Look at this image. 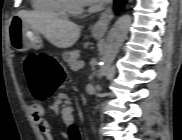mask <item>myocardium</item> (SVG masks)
Listing matches in <instances>:
<instances>
[{
    "label": "myocardium",
    "instance_id": "1",
    "mask_svg": "<svg viewBox=\"0 0 182 140\" xmlns=\"http://www.w3.org/2000/svg\"><path fill=\"white\" fill-rule=\"evenodd\" d=\"M64 7L71 14H79L83 11V5L78 0H67L64 2Z\"/></svg>",
    "mask_w": 182,
    "mask_h": 140
}]
</instances>
